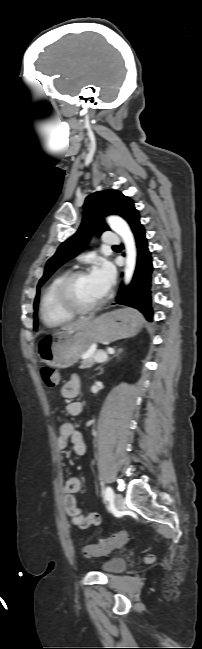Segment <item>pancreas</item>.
<instances>
[{
    "mask_svg": "<svg viewBox=\"0 0 202 649\" xmlns=\"http://www.w3.org/2000/svg\"><path fill=\"white\" fill-rule=\"evenodd\" d=\"M98 353H106V352H105V351H101V350H97V351L95 352V354H98ZM95 354H93V355L90 356L89 358L83 360V361L81 362L80 368H81V369H85V368H90V367H92V366L95 364V360H94V356H95ZM106 354H107V353H106Z\"/></svg>",
    "mask_w": 202,
    "mask_h": 649,
    "instance_id": "1",
    "label": "pancreas"
}]
</instances>
